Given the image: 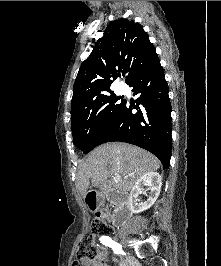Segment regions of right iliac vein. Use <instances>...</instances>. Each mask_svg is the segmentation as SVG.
I'll list each match as a JSON object with an SVG mask.
<instances>
[{
	"mask_svg": "<svg viewBox=\"0 0 221 266\" xmlns=\"http://www.w3.org/2000/svg\"><path fill=\"white\" fill-rule=\"evenodd\" d=\"M123 245L125 246V245H126V243H125V242H123Z\"/></svg>",
	"mask_w": 221,
	"mask_h": 266,
	"instance_id": "right-iliac-vein-1",
	"label": "right iliac vein"
}]
</instances>
